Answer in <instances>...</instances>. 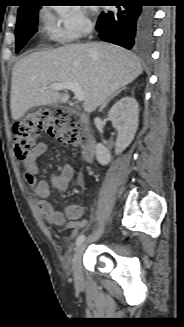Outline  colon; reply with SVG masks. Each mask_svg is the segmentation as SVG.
<instances>
[{
    "mask_svg": "<svg viewBox=\"0 0 184 327\" xmlns=\"http://www.w3.org/2000/svg\"><path fill=\"white\" fill-rule=\"evenodd\" d=\"M41 131H46L64 145L82 147L87 140L86 127L63 109H38L27 113L12 127L16 156L25 160L36 147Z\"/></svg>",
    "mask_w": 184,
    "mask_h": 327,
    "instance_id": "colon-1",
    "label": "colon"
}]
</instances>
